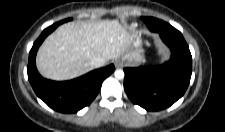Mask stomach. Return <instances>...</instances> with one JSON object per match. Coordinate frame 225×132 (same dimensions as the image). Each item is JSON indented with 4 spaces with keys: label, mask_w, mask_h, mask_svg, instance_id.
<instances>
[{
    "label": "stomach",
    "mask_w": 225,
    "mask_h": 132,
    "mask_svg": "<svg viewBox=\"0 0 225 132\" xmlns=\"http://www.w3.org/2000/svg\"><path fill=\"white\" fill-rule=\"evenodd\" d=\"M125 65L136 66L144 62V53L142 50V40L136 37L132 43L131 50L121 56Z\"/></svg>",
    "instance_id": "stomach-1"
}]
</instances>
